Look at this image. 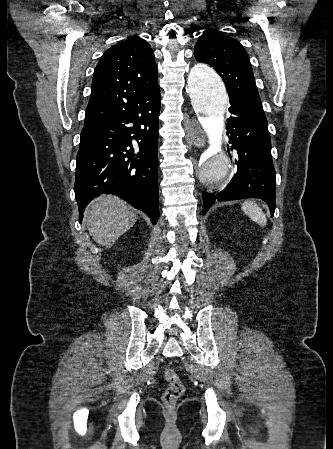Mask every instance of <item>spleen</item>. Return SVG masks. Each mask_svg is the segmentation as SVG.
<instances>
[{"instance_id": "obj_1", "label": "spleen", "mask_w": 333, "mask_h": 449, "mask_svg": "<svg viewBox=\"0 0 333 449\" xmlns=\"http://www.w3.org/2000/svg\"><path fill=\"white\" fill-rule=\"evenodd\" d=\"M242 210L245 214L254 222L259 225H265L267 223V219L262 209L254 202L247 201L242 204Z\"/></svg>"}]
</instances>
